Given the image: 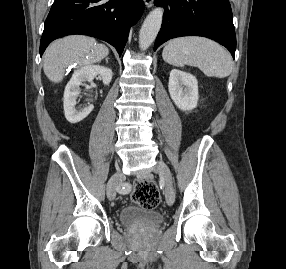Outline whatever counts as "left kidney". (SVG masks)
Wrapping results in <instances>:
<instances>
[{"mask_svg": "<svg viewBox=\"0 0 286 269\" xmlns=\"http://www.w3.org/2000/svg\"><path fill=\"white\" fill-rule=\"evenodd\" d=\"M168 89L175 105L183 111L196 108L198 102V82L195 76L173 69L170 72Z\"/></svg>", "mask_w": 286, "mask_h": 269, "instance_id": "left-kidney-1", "label": "left kidney"}]
</instances>
